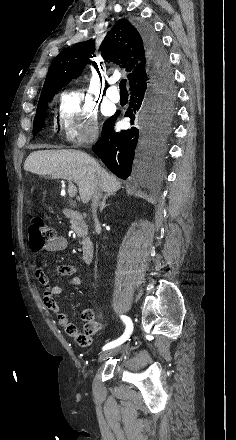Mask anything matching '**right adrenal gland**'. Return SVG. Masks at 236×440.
I'll list each match as a JSON object with an SVG mask.
<instances>
[{"label": "right adrenal gland", "instance_id": "2a0ac1e0", "mask_svg": "<svg viewBox=\"0 0 236 440\" xmlns=\"http://www.w3.org/2000/svg\"><path fill=\"white\" fill-rule=\"evenodd\" d=\"M111 195H112V194L107 193V194H105V195L102 197V201H101V204H100V212H102L103 209H104L106 206H108V205L106 204V199H107L108 197H110Z\"/></svg>", "mask_w": 236, "mask_h": 440}]
</instances>
